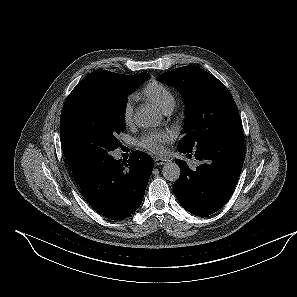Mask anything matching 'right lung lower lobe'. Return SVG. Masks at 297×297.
Returning a JSON list of instances; mask_svg holds the SVG:
<instances>
[{
    "label": "right lung lower lobe",
    "instance_id": "right-lung-lower-lobe-1",
    "mask_svg": "<svg viewBox=\"0 0 297 297\" xmlns=\"http://www.w3.org/2000/svg\"><path fill=\"white\" fill-rule=\"evenodd\" d=\"M153 167V159L140 151L132 153L128 161L111 157L91 168L79 186L96 212L121 220L140 206Z\"/></svg>",
    "mask_w": 297,
    "mask_h": 297
}]
</instances>
